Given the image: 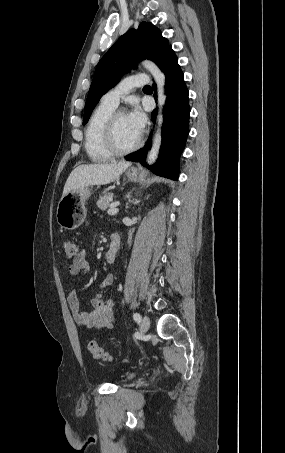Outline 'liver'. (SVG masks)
<instances>
[{
	"label": "liver",
	"instance_id": "obj_1",
	"mask_svg": "<svg viewBox=\"0 0 285 453\" xmlns=\"http://www.w3.org/2000/svg\"><path fill=\"white\" fill-rule=\"evenodd\" d=\"M131 166V162H114L109 164L80 165L69 175L64 189L63 196L71 191L93 186L109 184Z\"/></svg>",
	"mask_w": 285,
	"mask_h": 453
}]
</instances>
